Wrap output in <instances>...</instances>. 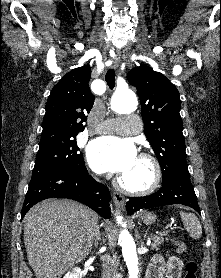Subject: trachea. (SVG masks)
<instances>
[{"instance_id":"3493384b","label":"trachea","mask_w":221,"mask_h":278,"mask_svg":"<svg viewBox=\"0 0 221 278\" xmlns=\"http://www.w3.org/2000/svg\"><path fill=\"white\" fill-rule=\"evenodd\" d=\"M106 82L110 89L115 87V71L113 69H109L106 73Z\"/></svg>"}]
</instances>
